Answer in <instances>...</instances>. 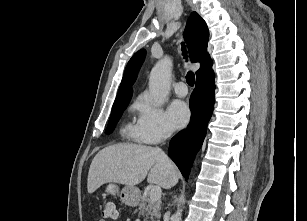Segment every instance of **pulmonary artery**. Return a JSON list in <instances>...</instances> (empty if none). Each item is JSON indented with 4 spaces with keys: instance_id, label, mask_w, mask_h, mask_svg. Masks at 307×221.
<instances>
[{
    "instance_id": "obj_1",
    "label": "pulmonary artery",
    "mask_w": 307,
    "mask_h": 221,
    "mask_svg": "<svg viewBox=\"0 0 307 221\" xmlns=\"http://www.w3.org/2000/svg\"><path fill=\"white\" fill-rule=\"evenodd\" d=\"M175 94L179 97H184L188 94V88L184 82H178L174 86Z\"/></svg>"
}]
</instances>
